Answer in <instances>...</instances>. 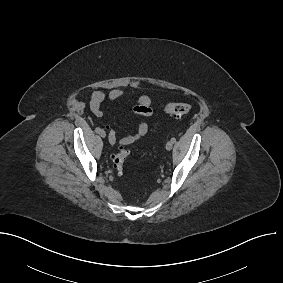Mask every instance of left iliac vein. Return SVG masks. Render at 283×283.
Returning <instances> with one entry per match:
<instances>
[{
  "instance_id": "left-iliac-vein-1",
  "label": "left iliac vein",
  "mask_w": 283,
  "mask_h": 283,
  "mask_svg": "<svg viewBox=\"0 0 283 283\" xmlns=\"http://www.w3.org/2000/svg\"><path fill=\"white\" fill-rule=\"evenodd\" d=\"M172 147H173V141L170 140V141H168V142L166 143V149H167V150H171Z\"/></svg>"
}]
</instances>
